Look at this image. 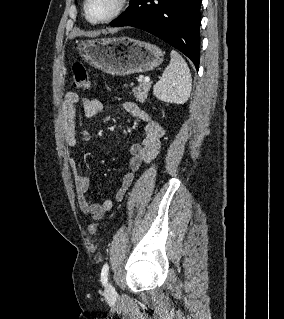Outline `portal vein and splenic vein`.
Masks as SVG:
<instances>
[{"label":"portal vein and splenic vein","mask_w":284,"mask_h":319,"mask_svg":"<svg viewBox=\"0 0 284 319\" xmlns=\"http://www.w3.org/2000/svg\"><path fill=\"white\" fill-rule=\"evenodd\" d=\"M144 81H145L146 83H149V82H150V78H149V77H145Z\"/></svg>","instance_id":"portal-vein-and-splenic-vein-1"}]
</instances>
